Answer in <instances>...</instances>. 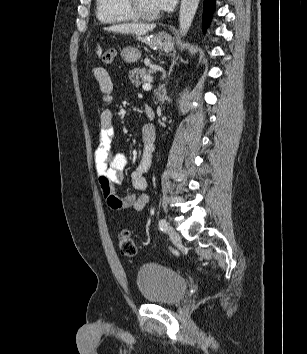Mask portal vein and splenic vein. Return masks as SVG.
Returning <instances> with one entry per match:
<instances>
[{
  "mask_svg": "<svg viewBox=\"0 0 307 354\" xmlns=\"http://www.w3.org/2000/svg\"><path fill=\"white\" fill-rule=\"evenodd\" d=\"M151 80H149L148 82L144 83L142 85V88L145 90V91H149L152 89V85L150 84Z\"/></svg>",
  "mask_w": 307,
  "mask_h": 354,
  "instance_id": "1",
  "label": "portal vein and splenic vein"
}]
</instances>
